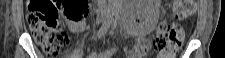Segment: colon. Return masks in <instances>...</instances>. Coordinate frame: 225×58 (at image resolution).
Wrapping results in <instances>:
<instances>
[{
	"label": "colon",
	"instance_id": "1",
	"mask_svg": "<svg viewBox=\"0 0 225 58\" xmlns=\"http://www.w3.org/2000/svg\"><path fill=\"white\" fill-rule=\"evenodd\" d=\"M59 5L64 9V17L70 21L82 20L87 14V3L83 0L51 1L30 0L28 2L27 24L36 42L48 57L57 56L67 45L68 36L58 20ZM172 12L178 19L186 18L194 12V1L174 0ZM184 31L177 26L162 25L152 46L146 42L135 44L128 54L129 58H142L151 50L161 53V58H173L180 49Z\"/></svg>",
	"mask_w": 225,
	"mask_h": 58
}]
</instances>
